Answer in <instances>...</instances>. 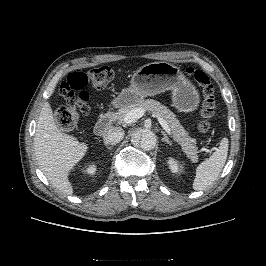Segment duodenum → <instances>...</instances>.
<instances>
[{
  "label": "duodenum",
  "mask_w": 266,
  "mask_h": 266,
  "mask_svg": "<svg viewBox=\"0 0 266 266\" xmlns=\"http://www.w3.org/2000/svg\"><path fill=\"white\" fill-rule=\"evenodd\" d=\"M113 119L112 113H106L96 122L94 132L97 136H102L109 130Z\"/></svg>",
  "instance_id": "1"
}]
</instances>
